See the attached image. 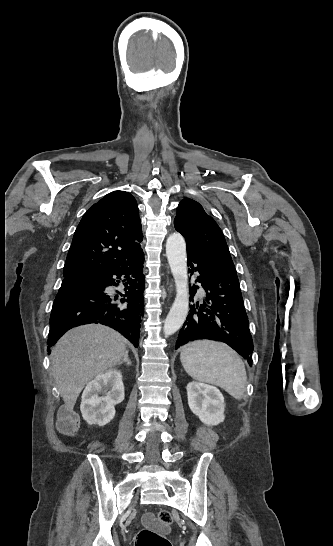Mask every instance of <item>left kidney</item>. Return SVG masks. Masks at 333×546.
I'll return each instance as SVG.
<instances>
[{"instance_id": "obj_1", "label": "left kidney", "mask_w": 333, "mask_h": 546, "mask_svg": "<svg viewBox=\"0 0 333 546\" xmlns=\"http://www.w3.org/2000/svg\"><path fill=\"white\" fill-rule=\"evenodd\" d=\"M187 396L191 411L201 422L215 426L224 421V397L216 387L190 382L187 385Z\"/></svg>"}]
</instances>
